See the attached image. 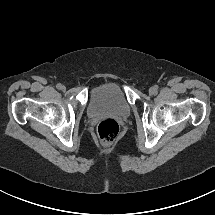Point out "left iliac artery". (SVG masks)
<instances>
[{"instance_id":"1","label":"left iliac artery","mask_w":215,"mask_h":215,"mask_svg":"<svg viewBox=\"0 0 215 215\" xmlns=\"http://www.w3.org/2000/svg\"><path fill=\"white\" fill-rule=\"evenodd\" d=\"M154 87H155L156 90H158V86L157 85H155Z\"/></svg>"}]
</instances>
